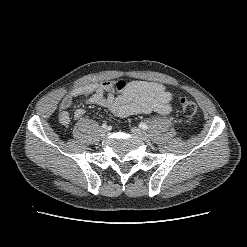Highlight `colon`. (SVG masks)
<instances>
[{"mask_svg":"<svg viewBox=\"0 0 247 247\" xmlns=\"http://www.w3.org/2000/svg\"><path fill=\"white\" fill-rule=\"evenodd\" d=\"M180 107H181L182 113L186 117H190V118L194 117L198 111L197 105L188 98L180 99Z\"/></svg>","mask_w":247,"mask_h":247,"instance_id":"colon-1","label":"colon"}]
</instances>
